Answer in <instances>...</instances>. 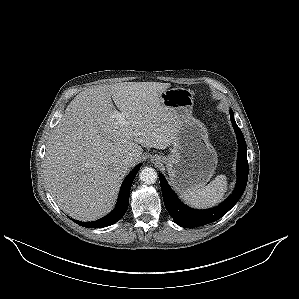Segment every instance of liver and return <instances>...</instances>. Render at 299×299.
Masks as SVG:
<instances>
[{"label": "liver", "instance_id": "6515ba94", "mask_svg": "<svg viewBox=\"0 0 299 299\" xmlns=\"http://www.w3.org/2000/svg\"><path fill=\"white\" fill-rule=\"evenodd\" d=\"M171 86L123 82L80 92L51 133L44 159L47 188L69 216L91 221L114 206L121 183L141 159L142 147L165 149L176 120L160 95ZM112 100L125 124L115 116ZM127 154L133 163L125 165Z\"/></svg>", "mask_w": 299, "mask_h": 299}]
</instances>
